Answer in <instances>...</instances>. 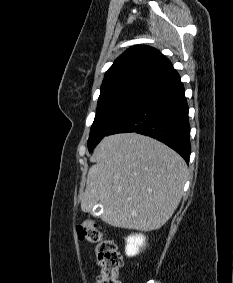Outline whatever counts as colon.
I'll use <instances>...</instances> for the list:
<instances>
[{
    "label": "colon",
    "instance_id": "obj_1",
    "mask_svg": "<svg viewBox=\"0 0 233 283\" xmlns=\"http://www.w3.org/2000/svg\"><path fill=\"white\" fill-rule=\"evenodd\" d=\"M78 236L95 245L99 274L96 283H120L118 272L123 264L122 256L113 240L104 238L98 222L85 218L77 226Z\"/></svg>",
    "mask_w": 233,
    "mask_h": 283
}]
</instances>
